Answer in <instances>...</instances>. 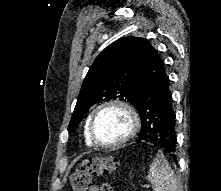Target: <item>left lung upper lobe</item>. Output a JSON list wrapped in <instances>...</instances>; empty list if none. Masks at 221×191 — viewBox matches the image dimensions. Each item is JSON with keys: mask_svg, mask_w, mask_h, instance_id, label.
Listing matches in <instances>:
<instances>
[{"mask_svg": "<svg viewBox=\"0 0 221 191\" xmlns=\"http://www.w3.org/2000/svg\"><path fill=\"white\" fill-rule=\"evenodd\" d=\"M147 45L143 38H121L98 55L82 84L68 131L101 100L119 99L135 105V84Z\"/></svg>", "mask_w": 221, "mask_h": 191, "instance_id": "1", "label": "left lung upper lobe"}]
</instances>
